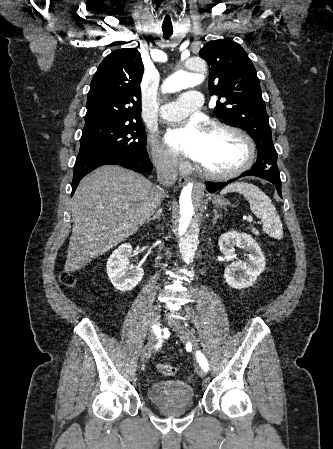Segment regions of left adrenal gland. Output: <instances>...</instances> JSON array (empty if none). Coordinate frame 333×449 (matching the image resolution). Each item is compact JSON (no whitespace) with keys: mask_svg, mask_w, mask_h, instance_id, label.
<instances>
[{"mask_svg":"<svg viewBox=\"0 0 333 449\" xmlns=\"http://www.w3.org/2000/svg\"><path fill=\"white\" fill-rule=\"evenodd\" d=\"M218 218H222L221 214H218L217 210L214 209V219H213V225L216 223Z\"/></svg>","mask_w":333,"mask_h":449,"instance_id":"obj_1","label":"left adrenal gland"}]
</instances>
